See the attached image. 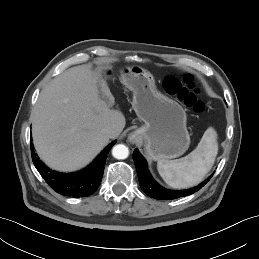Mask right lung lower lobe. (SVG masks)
I'll return each mask as SVG.
<instances>
[{
  "label": "right lung lower lobe",
  "instance_id": "1",
  "mask_svg": "<svg viewBox=\"0 0 259 259\" xmlns=\"http://www.w3.org/2000/svg\"><path fill=\"white\" fill-rule=\"evenodd\" d=\"M114 144L115 142L108 145L87 168L76 173L64 174L49 169L39 159L30 142L33 163L43 179L57 193L72 197H86L98 189L103 176L106 156Z\"/></svg>",
  "mask_w": 259,
  "mask_h": 259
}]
</instances>
